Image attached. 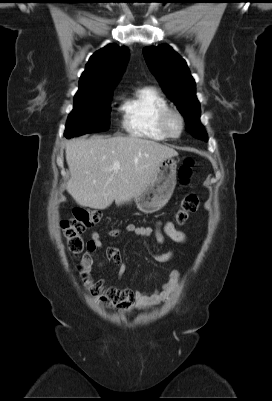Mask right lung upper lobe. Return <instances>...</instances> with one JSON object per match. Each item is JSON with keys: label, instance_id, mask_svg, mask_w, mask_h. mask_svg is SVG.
<instances>
[{"label": "right lung upper lobe", "instance_id": "cb5924a9", "mask_svg": "<svg viewBox=\"0 0 272 401\" xmlns=\"http://www.w3.org/2000/svg\"><path fill=\"white\" fill-rule=\"evenodd\" d=\"M129 58V49L109 44L96 51L86 64L74 98L113 90L120 80Z\"/></svg>", "mask_w": 272, "mask_h": 401}]
</instances>
